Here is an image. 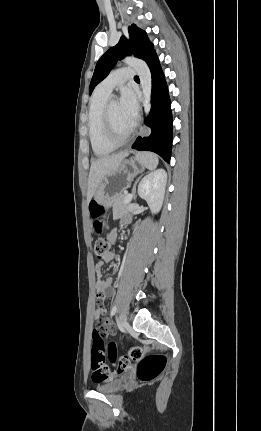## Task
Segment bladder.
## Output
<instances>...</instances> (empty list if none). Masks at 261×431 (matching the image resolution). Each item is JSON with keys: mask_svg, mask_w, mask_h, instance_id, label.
I'll return each instance as SVG.
<instances>
[{"mask_svg": "<svg viewBox=\"0 0 261 431\" xmlns=\"http://www.w3.org/2000/svg\"><path fill=\"white\" fill-rule=\"evenodd\" d=\"M124 382V377H116L104 381H98L95 388L101 393L109 394L119 390L123 386Z\"/></svg>", "mask_w": 261, "mask_h": 431, "instance_id": "bladder-1", "label": "bladder"}]
</instances>
